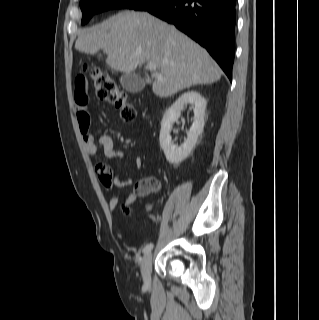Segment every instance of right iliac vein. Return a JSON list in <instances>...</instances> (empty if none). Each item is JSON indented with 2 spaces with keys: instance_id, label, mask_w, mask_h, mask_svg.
I'll use <instances>...</instances> for the list:
<instances>
[{
  "instance_id": "obj_1",
  "label": "right iliac vein",
  "mask_w": 319,
  "mask_h": 320,
  "mask_svg": "<svg viewBox=\"0 0 319 320\" xmlns=\"http://www.w3.org/2000/svg\"><path fill=\"white\" fill-rule=\"evenodd\" d=\"M151 266H152V254L149 252L145 254L141 262V274L143 281L146 285L151 282Z\"/></svg>"
}]
</instances>
